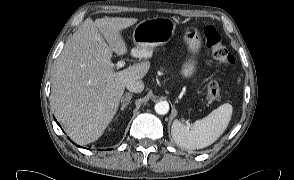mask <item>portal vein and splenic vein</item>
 Instances as JSON below:
<instances>
[{"mask_svg": "<svg viewBox=\"0 0 294 180\" xmlns=\"http://www.w3.org/2000/svg\"><path fill=\"white\" fill-rule=\"evenodd\" d=\"M124 66H125V62L123 60L118 61L117 64H116L117 68H122Z\"/></svg>", "mask_w": 294, "mask_h": 180, "instance_id": "1", "label": "portal vein and splenic vein"}]
</instances>
